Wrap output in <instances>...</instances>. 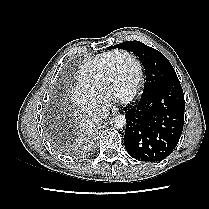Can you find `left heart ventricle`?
Wrapping results in <instances>:
<instances>
[{
  "instance_id": "obj_1",
  "label": "left heart ventricle",
  "mask_w": 209,
  "mask_h": 209,
  "mask_svg": "<svg viewBox=\"0 0 209 209\" xmlns=\"http://www.w3.org/2000/svg\"><path fill=\"white\" fill-rule=\"evenodd\" d=\"M137 78L134 62L127 56H119L114 61L108 87V97L119 100L126 98L132 91Z\"/></svg>"
}]
</instances>
